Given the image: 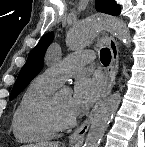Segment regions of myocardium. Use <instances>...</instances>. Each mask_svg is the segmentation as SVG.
Wrapping results in <instances>:
<instances>
[{
    "label": "myocardium",
    "instance_id": "obj_1",
    "mask_svg": "<svg viewBox=\"0 0 145 147\" xmlns=\"http://www.w3.org/2000/svg\"><path fill=\"white\" fill-rule=\"evenodd\" d=\"M50 111L61 128H68L75 124V117L73 115L64 114L57 105L56 98L50 101Z\"/></svg>",
    "mask_w": 145,
    "mask_h": 147
}]
</instances>
